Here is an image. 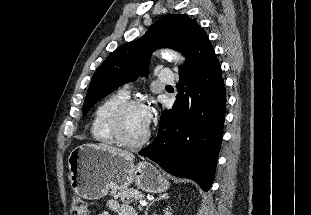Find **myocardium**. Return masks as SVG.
<instances>
[{
    "label": "myocardium",
    "mask_w": 311,
    "mask_h": 215,
    "mask_svg": "<svg viewBox=\"0 0 311 215\" xmlns=\"http://www.w3.org/2000/svg\"><path fill=\"white\" fill-rule=\"evenodd\" d=\"M135 107H141L147 109L144 102L140 99H127L120 103L112 112L110 116V128L117 141V143L128 147V148H138L144 145L150 138V131L143 138L137 141L129 140L124 131V118L126 113Z\"/></svg>",
    "instance_id": "myocardium-1"
}]
</instances>
